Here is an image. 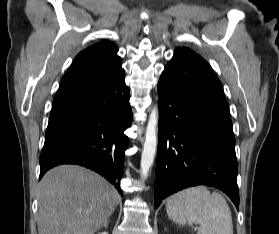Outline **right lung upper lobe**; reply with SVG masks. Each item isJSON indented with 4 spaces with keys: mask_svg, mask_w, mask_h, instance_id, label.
<instances>
[{
    "mask_svg": "<svg viewBox=\"0 0 279 234\" xmlns=\"http://www.w3.org/2000/svg\"><path fill=\"white\" fill-rule=\"evenodd\" d=\"M118 47L110 41H101L80 52L63 76L56 95L78 90L101 82L121 68Z\"/></svg>",
    "mask_w": 279,
    "mask_h": 234,
    "instance_id": "cb5924a9",
    "label": "right lung upper lobe"
}]
</instances>
